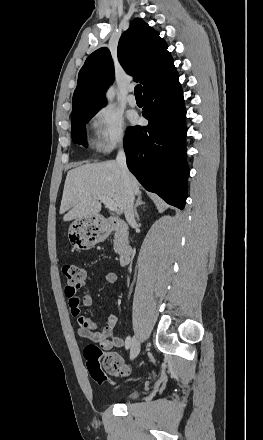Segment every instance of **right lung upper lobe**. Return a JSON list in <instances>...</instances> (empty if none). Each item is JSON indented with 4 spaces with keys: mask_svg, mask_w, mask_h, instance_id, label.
Masks as SVG:
<instances>
[{
    "mask_svg": "<svg viewBox=\"0 0 263 440\" xmlns=\"http://www.w3.org/2000/svg\"><path fill=\"white\" fill-rule=\"evenodd\" d=\"M167 44L140 18L134 19L118 43V60L124 70L143 84V92L176 71ZM114 81L111 53L106 47L94 51L78 74L73 94L72 118L99 111L106 103L104 92Z\"/></svg>",
    "mask_w": 263,
    "mask_h": 440,
    "instance_id": "1",
    "label": "right lung upper lobe"
}]
</instances>
